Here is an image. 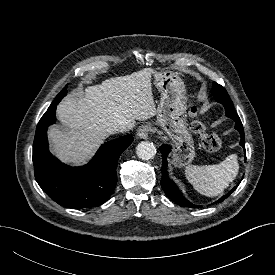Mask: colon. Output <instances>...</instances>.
<instances>
[{"mask_svg": "<svg viewBox=\"0 0 275 275\" xmlns=\"http://www.w3.org/2000/svg\"><path fill=\"white\" fill-rule=\"evenodd\" d=\"M197 115V109L192 108L190 111V116L194 119L192 130L199 136L202 147L207 151L219 150L221 147L220 137L215 132L210 131L204 122L197 120Z\"/></svg>", "mask_w": 275, "mask_h": 275, "instance_id": "obj_1", "label": "colon"}]
</instances>
